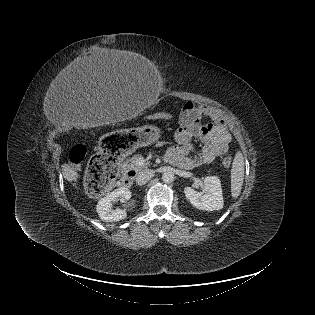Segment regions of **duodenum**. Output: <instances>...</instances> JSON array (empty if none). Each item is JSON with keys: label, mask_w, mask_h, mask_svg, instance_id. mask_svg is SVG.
<instances>
[{"label": "duodenum", "mask_w": 315, "mask_h": 315, "mask_svg": "<svg viewBox=\"0 0 315 315\" xmlns=\"http://www.w3.org/2000/svg\"><path fill=\"white\" fill-rule=\"evenodd\" d=\"M135 175H136V172L133 169L123 167L122 168V176H121L120 180L118 181V186L124 187V188L130 187L131 183H132V179Z\"/></svg>", "instance_id": "1"}]
</instances>
